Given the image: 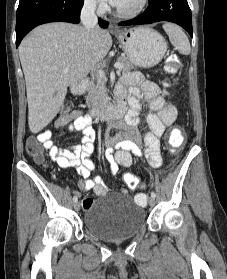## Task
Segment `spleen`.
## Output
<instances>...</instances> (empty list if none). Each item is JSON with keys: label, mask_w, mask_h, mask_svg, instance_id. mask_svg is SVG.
Segmentation results:
<instances>
[{"label": "spleen", "mask_w": 227, "mask_h": 279, "mask_svg": "<svg viewBox=\"0 0 227 279\" xmlns=\"http://www.w3.org/2000/svg\"><path fill=\"white\" fill-rule=\"evenodd\" d=\"M163 29L167 33L171 44L179 51V53L184 55L190 53L191 48L189 40L179 26L165 23Z\"/></svg>", "instance_id": "obj_1"}]
</instances>
